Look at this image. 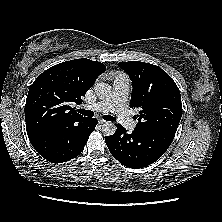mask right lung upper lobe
<instances>
[{
    "instance_id": "right-lung-upper-lobe-1",
    "label": "right lung upper lobe",
    "mask_w": 222,
    "mask_h": 222,
    "mask_svg": "<svg viewBox=\"0 0 222 222\" xmlns=\"http://www.w3.org/2000/svg\"><path fill=\"white\" fill-rule=\"evenodd\" d=\"M101 62L82 58L57 64L44 71L30 86L25 104V121L30 140L49 131L86 119L70 106L105 71Z\"/></svg>"
}]
</instances>
